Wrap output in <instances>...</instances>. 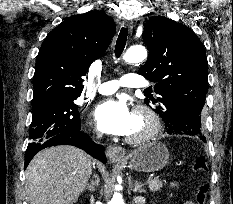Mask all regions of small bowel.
I'll return each instance as SVG.
<instances>
[{
	"label": "small bowel",
	"instance_id": "obj_1",
	"mask_svg": "<svg viewBox=\"0 0 233 204\" xmlns=\"http://www.w3.org/2000/svg\"><path fill=\"white\" fill-rule=\"evenodd\" d=\"M173 186H175V184H173ZM183 204H194V203L192 201H190V200H186V201H184Z\"/></svg>",
	"mask_w": 233,
	"mask_h": 204
}]
</instances>
